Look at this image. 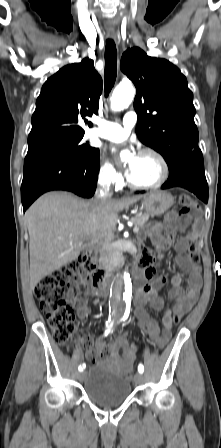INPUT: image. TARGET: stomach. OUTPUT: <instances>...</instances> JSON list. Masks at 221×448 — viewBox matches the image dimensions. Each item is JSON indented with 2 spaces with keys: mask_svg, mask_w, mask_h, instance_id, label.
Returning <instances> with one entry per match:
<instances>
[{
  "mask_svg": "<svg viewBox=\"0 0 221 448\" xmlns=\"http://www.w3.org/2000/svg\"><path fill=\"white\" fill-rule=\"evenodd\" d=\"M142 207L152 216L164 214L174 203L173 196L165 191H153L141 196Z\"/></svg>",
  "mask_w": 221,
  "mask_h": 448,
  "instance_id": "stomach-1",
  "label": "stomach"
}]
</instances>
